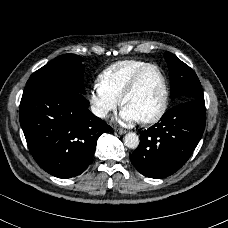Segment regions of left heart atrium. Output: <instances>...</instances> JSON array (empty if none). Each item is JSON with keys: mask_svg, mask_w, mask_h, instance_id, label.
I'll use <instances>...</instances> for the list:
<instances>
[{"mask_svg": "<svg viewBox=\"0 0 228 228\" xmlns=\"http://www.w3.org/2000/svg\"><path fill=\"white\" fill-rule=\"evenodd\" d=\"M120 117L127 125H133L140 121V118L128 107L122 109Z\"/></svg>", "mask_w": 228, "mask_h": 228, "instance_id": "obj_1", "label": "left heart atrium"}]
</instances>
